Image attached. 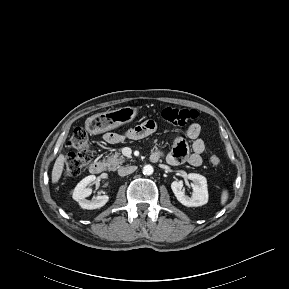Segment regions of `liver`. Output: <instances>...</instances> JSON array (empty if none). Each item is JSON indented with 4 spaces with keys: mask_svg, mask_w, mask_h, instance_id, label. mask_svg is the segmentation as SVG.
<instances>
[{
    "mask_svg": "<svg viewBox=\"0 0 289 289\" xmlns=\"http://www.w3.org/2000/svg\"><path fill=\"white\" fill-rule=\"evenodd\" d=\"M66 161V158L63 154H60L53 166V170H52V183L55 184L59 181L63 169H64V163Z\"/></svg>",
    "mask_w": 289,
    "mask_h": 289,
    "instance_id": "obj_1",
    "label": "liver"
}]
</instances>
